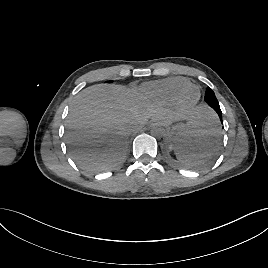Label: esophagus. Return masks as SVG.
Returning <instances> with one entry per match:
<instances>
[{
  "instance_id": "obj_1",
  "label": "esophagus",
  "mask_w": 268,
  "mask_h": 268,
  "mask_svg": "<svg viewBox=\"0 0 268 268\" xmlns=\"http://www.w3.org/2000/svg\"><path fill=\"white\" fill-rule=\"evenodd\" d=\"M160 124V121L158 120V119H154V120H152V122H151V125L152 126H156V125H159Z\"/></svg>"
}]
</instances>
